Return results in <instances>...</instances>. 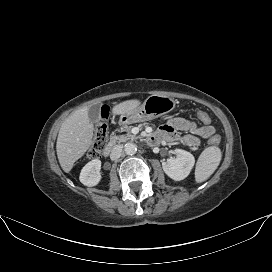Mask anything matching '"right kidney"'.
Listing matches in <instances>:
<instances>
[{
    "instance_id": "obj_1",
    "label": "right kidney",
    "mask_w": 272,
    "mask_h": 272,
    "mask_svg": "<svg viewBox=\"0 0 272 272\" xmlns=\"http://www.w3.org/2000/svg\"><path fill=\"white\" fill-rule=\"evenodd\" d=\"M100 169L101 161L99 159L88 162L81 170L80 182L88 187L96 186L101 180Z\"/></svg>"
}]
</instances>
